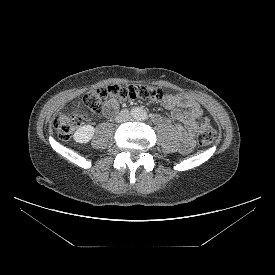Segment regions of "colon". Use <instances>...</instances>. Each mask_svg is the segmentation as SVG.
I'll use <instances>...</instances> for the list:
<instances>
[{"instance_id":"obj_1","label":"colon","mask_w":275,"mask_h":275,"mask_svg":"<svg viewBox=\"0 0 275 275\" xmlns=\"http://www.w3.org/2000/svg\"><path fill=\"white\" fill-rule=\"evenodd\" d=\"M165 92L158 87L147 85H109L92 90L82 98V104L92 112H99L111 99L119 102H133L137 100L162 101L166 98ZM86 122L81 114L60 113L53 120V126L62 140H67L73 132ZM216 137L207 118L198 121L197 141L200 147L208 146Z\"/></svg>"}]
</instances>
